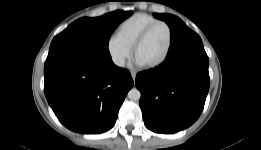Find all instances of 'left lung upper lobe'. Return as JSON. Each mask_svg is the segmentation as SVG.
I'll return each instance as SVG.
<instances>
[{"mask_svg": "<svg viewBox=\"0 0 261 150\" xmlns=\"http://www.w3.org/2000/svg\"><path fill=\"white\" fill-rule=\"evenodd\" d=\"M154 17L161 19L168 24L171 32V42L175 40L181 33L189 29L181 19L174 15L155 13Z\"/></svg>", "mask_w": 261, "mask_h": 150, "instance_id": "1", "label": "left lung upper lobe"}]
</instances>
